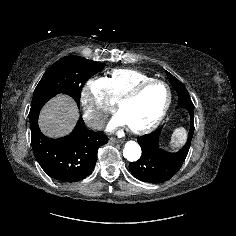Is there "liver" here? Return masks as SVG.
<instances>
[{
	"label": "liver",
	"mask_w": 236,
	"mask_h": 236,
	"mask_svg": "<svg viewBox=\"0 0 236 236\" xmlns=\"http://www.w3.org/2000/svg\"><path fill=\"white\" fill-rule=\"evenodd\" d=\"M78 116L75 101L67 95H58L42 109L39 117L40 128L47 136L61 137L73 130Z\"/></svg>",
	"instance_id": "liver-1"
}]
</instances>
